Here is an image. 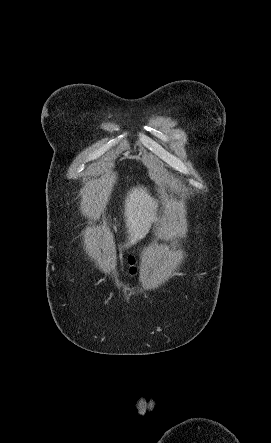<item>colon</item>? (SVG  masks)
Instances as JSON below:
<instances>
[{
    "mask_svg": "<svg viewBox=\"0 0 271 443\" xmlns=\"http://www.w3.org/2000/svg\"><path fill=\"white\" fill-rule=\"evenodd\" d=\"M125 261H126V264L130 268V272L133 273L135 270V267H134L135 266V258L133 256L129 255V256L125 257Z\"/></svg>",
    "mask_w": 271,
    "mask_h": 443,
    "instance_id": "1",
    "label": "colon"
}]
</instances>
